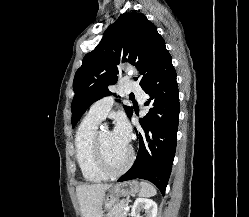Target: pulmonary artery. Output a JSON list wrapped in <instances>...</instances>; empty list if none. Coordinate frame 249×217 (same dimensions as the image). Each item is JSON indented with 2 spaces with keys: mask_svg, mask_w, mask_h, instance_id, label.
Here are the masks:
<instances>
[{
  "mask_svg": "<svg viewBox=\"0 0 249 217\" xmlns=\"http://www.w3.org/2000/svg\"><path fill=\"white\" fill-rule=\"evenodd\" d=\"M124 86L125 89L121 91L122 94L132 93L138 97L140 103H143L145 93L136 83L128 81L124 83ZM112 106L113 98L111 96L103 97L90 107L88 115L102 121L106 118Z\"/></svg>",
  "mask_w": 249,
  "mask_h": 217,
  "instance_id": "e3ab8cb5",
  "label": "pulmonary artery"
}]
</instances>
